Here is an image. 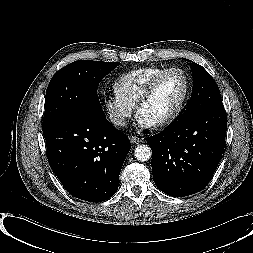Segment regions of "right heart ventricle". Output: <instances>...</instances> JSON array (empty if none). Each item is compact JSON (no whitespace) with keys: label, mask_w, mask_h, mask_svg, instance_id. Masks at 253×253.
Here are the masks:
<instances>
[{"label":"right heart ventricle","mask_w":253,"mask_h":253,"mask_svg":"<svg viewBox=\"0 0 253 253\" xmlns=\"http://www.w3.org/2000/svg\"><path fill=\"white\" fill-rule=\"evenodd\" d=\"M167 67H142L123 73L114 82L113 88L116 95L135 106L149 83Z\"/></svg>","instance_id":"obj_1"}]
</instances>
